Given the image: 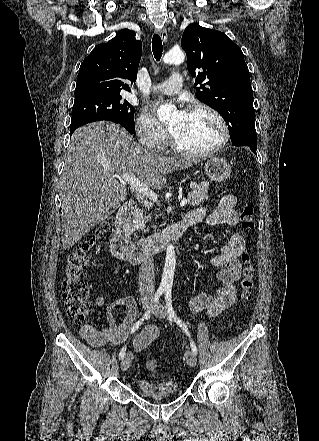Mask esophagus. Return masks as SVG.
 Returning <instances> with one entry per match:
<instances>
[{
    "label": "esophagus",
    "mask_w": 319,
    "mask_h": 441,
    "mask_svg": "<svg viewBox=\"0 0 319 441\" xmlns=\"http://www.w3.org/2000/svg\"><path fill=\"white\" fill-rule=\"evenodd\" d=\"M157 32L159 33V35H160L162 41H163L164 43H167V41H168V35H167V31H166V29L162 27V28H159V29L157 30Z\"/></svg>",
    "instance_id": "esophagus-1"
}]
</instances>
